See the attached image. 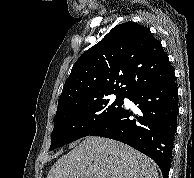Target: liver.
Here are the masks:
<instances>
[{"instance_id": "obj_1", "label": "liver", "mask_w": 194, "mask_h": 178, "mask_svg": "<svg viewBox=\"0 0 194 178\" xmlns=\"http://www.w3.org/2000/svg\"><path fill=\"white\" fill-rule=\"evenodd\" d=\"M158 178L156 164L121 142L88 136L50 169L47 178Z\"/></svg>"}]
</instances>
